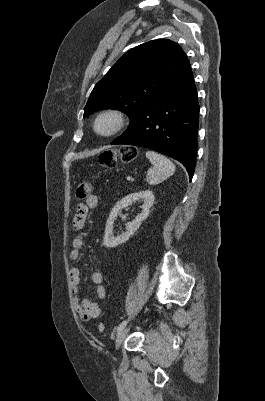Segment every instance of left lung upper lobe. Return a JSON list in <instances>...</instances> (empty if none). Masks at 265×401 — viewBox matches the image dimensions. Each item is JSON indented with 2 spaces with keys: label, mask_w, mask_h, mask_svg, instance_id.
<instances>
[{
  "label": "left lung upper lobe",
  "mask_w": 265,
  "mask_h": 401,
  "mask_svg": "<svg viewBox=\"0 0 265 401\" xmlns=\"http://www.w3.org/2000/svg\"><path fill=\"white\" fill-rule=\"evenodd\" d=\"M173 41L159 39L126 52L95 85L84 116L105 108L118 109L130 125L189 65Z\"/></svg>",
  "instance_id": "1"
}]
</instances>
